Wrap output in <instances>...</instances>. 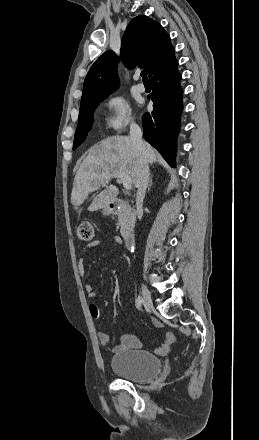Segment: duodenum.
Listing matches in <instances>:
<instances>
[{
	"mask_svg": "<svg viewBox=\"0 0 259 440\" xmlns=\"http://www.w3.org/2000/svg\"><path fill=\"white\" fill-rule=\"evenodd\" d=\"M123 204V201L120 199L112 200L108 205V210L110 213H115L118 208ZM124 242L128 249H131L134 245V235L131 232H126L124 234Z\"/></svg>",
	"mask_w": 259,
	"mask_h": 440,
	"instance_id": "obj_1",
	"label": "duodenum"
}]
</instances>
